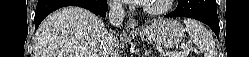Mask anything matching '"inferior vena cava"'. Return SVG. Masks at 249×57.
Listing matches in <instances>:
<instances>
[{
	"mask_svg": "<svg viewBox=\"0 0 249 57\" xmlns=\"http://www.w3.org/2000/svg\"><path fill=\"white\" fill-rule=\"evenodd\" d=\"M109 11H108V19L114 25H119L123 22L125 17V11L122 5V2L119 0L110 1L108 3ZM102 47L105 50V57H117L118 54V41L116 37L108 32L102 36Z\"/></svg>",
	"mask_w": 249,
	"mask_h": 57,
	"instance_id": "inferior-vena-cava-1",
	"label": "inferior vena cava"
}]
</instances>
